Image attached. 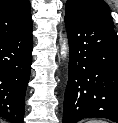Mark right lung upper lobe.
I'll list each match as a JSON object with an SVG mask.
<instances>
[{
  "instance_id": "right-lung-upper-lobe-1",
  "label": "right lung upper lobe",
  "mask_w": 118,
  "mask_h": 123,
  "mask_svg": "<svg viewBox=\"0 0 118 123\" xmlns=\"http://www.w3.org/2000/svg\"><path fill=\"white\" fill-rule=\"evenodd\" d=\"M31 26L28 0H0V38L22 33Z\"/></svg>"
}]
</instances>
